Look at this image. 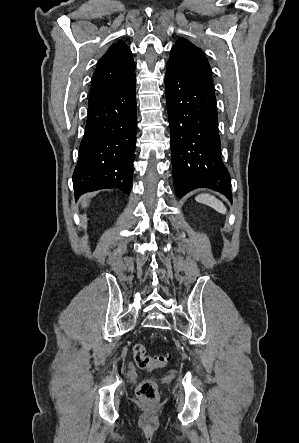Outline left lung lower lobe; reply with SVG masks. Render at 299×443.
I'll use <instances>...</instances> for the list:
<instances>
[{
    "instance_id": "0a47b994",
    "label": "left lung lower lobe",
    "mask_w": 299,
    "mask_h": 443,
    "mask_svg": "<svg viewBox=\"0 0 299 443\" xmlns=\"http://www.w3.org/2000/svg\"><path fill=\"white\" fill-rule=\"evenodd\" d=\"M165 94L177 196L206 187L231 200L230 176L220 157L214 92L167 63Z\"/></svg>"
}]
</instances>
